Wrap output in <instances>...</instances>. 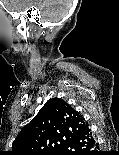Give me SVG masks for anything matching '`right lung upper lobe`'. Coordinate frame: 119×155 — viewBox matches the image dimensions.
<instances>
[{
    "label": "right lung upper lobe",
    "instance_id": "obj_1",
    "mask_svg": "<svg viewBox=\"0 0 119 155\" xmlns=\"http://www.w3.org/2000/svg\"><path fill=\"white\" fill-rule=\"evenodd\" d=\"M88 123L68 103L49 99L12 143L9 155H58Z\"/></svg>",
    "mask_w": 119,
    "mask_h": 155
}]
</instances>
